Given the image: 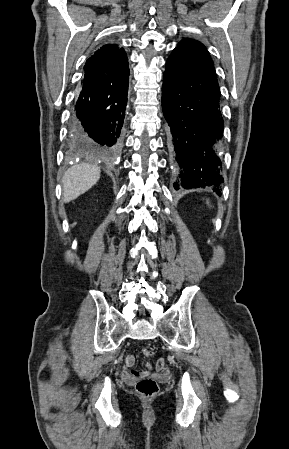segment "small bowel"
I'll list each match as a JSON object with an SVG mask.
<instances>
[{
  "instance_id": "obj_1",
  "label": "small bowel",
  "mask_w": 289,
  "mask_h": 449,
  "mask_svg": "<svg viewBox=\"0 0 289 449\" xmlns=\"http://www.w3.org/2000/svg\"><path fill=\"white\" fill-rule=\"evenodd\" d=\"M165 361H166L165 358L162 356L158 358L157 363H156L157 370L161 371L164 369ZM125 364L127 367L132 368L135 364V357L131 354L126 355ZM140 373L148 374L147 371H141V370H135V369L130 371L131 376L135 377V378H137Z\"/></svg>"
}]
</instances>
